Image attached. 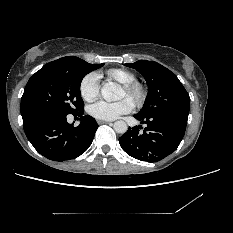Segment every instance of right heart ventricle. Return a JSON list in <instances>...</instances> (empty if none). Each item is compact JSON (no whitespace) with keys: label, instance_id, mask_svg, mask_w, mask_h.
<instances>
[{"label":"right heart ventricle","instance_id":"e07e8e85","mask_svg":"<svg viewBox=\"0 0 233 233\" xmlns=\"http://www.w3.org/2000/svg\"><path fill=\"white\" fill-rule=\"evenodd\" d=\"M98 77H104L106 80H113L120 84L130 83L136 79L133 72L124 68L108 69L104 74L98 75Z\"/></svg>","mask_w":233,"mask_h":233}]
</instances>
